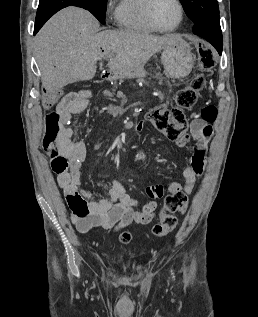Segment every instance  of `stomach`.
<instances>
[{
  "label": "stomach",
  "mask_w": 258,
  "mask_h": 317,
  "mask_svg": "<svg viewBox=\"0 0 258 317\" xmlns=\"http://www.w3.org/2000/svg\"><path fill=\"white\" fill-rule=\"evenodd\" d=\"M161 62L164 64L165 72L170 78L187 76L195 64V58L191 52V46L186 40H180L173 46L163 48Z\"/></svg>",
  "instance_id": "1"
}]
</instances>
